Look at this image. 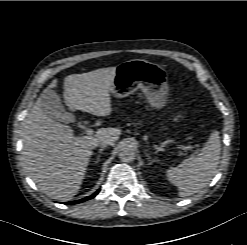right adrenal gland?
<instances>
[{
    "mask_svg": "<svg viewBox=\"0 0 247 245\" xmlns=\"http://www.w3.org/2000/svg\"><path fill=\"white\" fill-rule=\"evenodd\" d=\"M104 150V148L103 147H101L100 148V150H99V152H98V154H97V156H96V158H95V163H97L98 161H99V159H100V154L102 153V151Z\"/></svg>",
    "mask_w": 247,
    "mask_h": 245,
    "instance_id": "obj_1",
    "label": "right adrenal gland"
}]
</instances>
